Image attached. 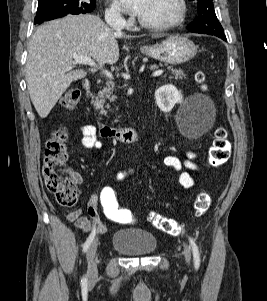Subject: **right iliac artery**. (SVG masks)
<instances>
[{"mask_svg":"<svg viewBox=\"0 0 267 301\" xmlns=\"http://www.w3.org/2000/svg\"><path fill=\"white\" fill-rule=\"evenodd\" d=\"M95 229L91 232V234L89 235V237L87 238V240L85 241L84 245H83V252H86L87 249L89 248L90 244L92 243L94 237H95ZM82 284H87V279L85 277L82 278L81 280Z\"/></svg>","mask_w":267,"mask_h":301,"instance_id":"obj_1","label":"right iliac artery"}]
</instances>
